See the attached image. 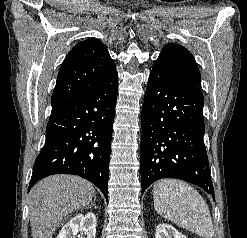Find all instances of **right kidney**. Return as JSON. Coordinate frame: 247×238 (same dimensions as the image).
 I'll return each instance as SVG.
<instances>
[{
  "mask_svg": "<svg viewBox=\"0 0 247 238\" xmlns=\"http://www.w3.org/2000/svg\"><path fill=\"white\" fill-rule=\"evenodd\" d=\"M97 219L94 213L78 214L65 224L57 238H73L79 231H83L87 238H95Z\"/></svg>",
  "mask_w": 247,
  "mask_h": 238,
  "instance_id": "ca27d5eb",
  "label": "right kidney"
}]
</instances>
